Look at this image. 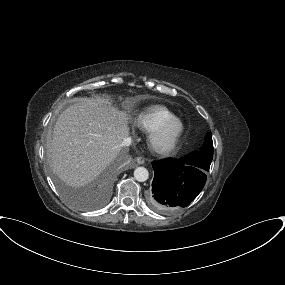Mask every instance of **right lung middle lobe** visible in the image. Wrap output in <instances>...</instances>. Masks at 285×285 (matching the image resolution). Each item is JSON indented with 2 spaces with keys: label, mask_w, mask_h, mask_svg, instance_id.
Instances as JSON below:
<instances>
[{
  "label": "right lung middle lobe",
  "mask_w": 285,
  "mask_h": 285,
  "mask_svg": "<svg viewBox=\"0 0 285 285\" xmlns=\"http://www.w3.org/2000/svg\"><path fill=\"white\" fill-rule=\"evenodd\" d=\"M60 187H61L62 191H63L66 195H69L68 192L66 191V189H65L62 185H60Z\"/></svg>",
  "instance_id": "right-lung-middle-lobe-1"
}]
</instances>
